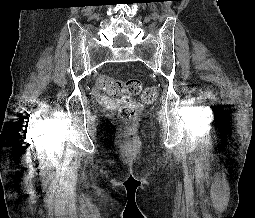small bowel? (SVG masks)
Segmentation results:
<instances>
[{
	"mask_svg": "<svg viewBox=\"0 0 255 218\" xmlns=\"http://www.w3.org/2000/svg\"><path fill=\"white\" fill-rule=\"evenodd\" d=\"M98 97L101 98V99H104L101 95H98ZM106 101L109 102V103H113V102L110 101V100H106Z\"/></svg>",
	"mask_w": 255,
	"mask_h": 218,
	"instance_id": "1",
	"label": "small bowel"
}]
</instances>
